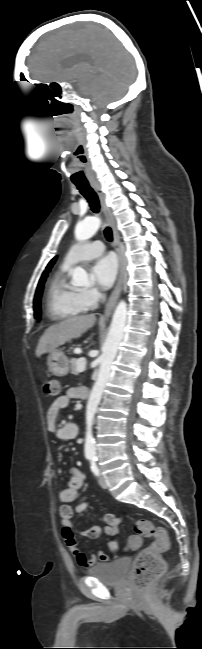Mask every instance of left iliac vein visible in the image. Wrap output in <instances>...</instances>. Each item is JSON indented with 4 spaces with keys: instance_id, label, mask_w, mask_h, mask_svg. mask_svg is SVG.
<instances>
[{
    "instance_id": "4c4485c4",
    "label": "left iliac vein",
    "mask_w": 202,
    "mask_h": 649,
    "mask_svg": "<svg viewBox=\"0 0 202 649\" xmlns=\"http://www.w3.org/2000/svg\"><path fill=\"white\" fill-rule=\"evenodd\" d=\"M98 483L104 489H106L108 487L107 482H106V480H105V478L103 476L98 477Z\"/></svg>"
}]
</instances>
